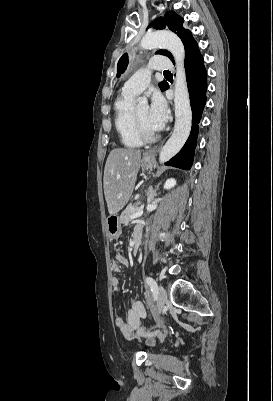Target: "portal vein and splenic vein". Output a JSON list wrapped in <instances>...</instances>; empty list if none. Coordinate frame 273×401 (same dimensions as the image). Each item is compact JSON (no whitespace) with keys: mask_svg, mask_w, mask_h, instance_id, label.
Wrapping results in <instances>:
<instances>
[{"mask_svg":"<svg viewBox=\"0 0 273 401\" xmlns=\"http://www.w3.org/2000/svg\"><path fill=\"white\" fill-rule=\"evenodd\" d=\"M142 205H145V202H142ZM139 205L138 209H136L137 213H134V215H131L130 219H138V217H141V215H143L144 212V206Z\"/></svg>","mask_w":273,"mask_h":401,"instance_id":"18ae733b","label":"portal vein and splenic vein"}]
</instances>
